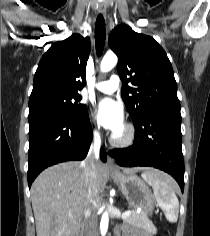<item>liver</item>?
I'll return each instance as SVG.
<instances>
[{
	"mask_svg": "<svg viewBox=\"0 0 210 236\" xmlns=\"http://www.w3.org/2000/svg\"><path fill=\"white\" fill-rule=\"evenodd\" d=\"M140 170L164 174L145 167L123 168L125 174ZM107 177V167L97 162L98 199ZM88 186V173L82 163L65 162L45 169L31 187L37 236H74L83 222Z\"/></svg>",
	"mask_w": 210,
	"mask_h": 236,
	"instance_id": "6515ba94",
	"label": "liver"
}]
</instances>
